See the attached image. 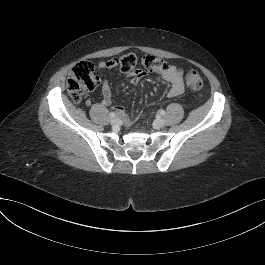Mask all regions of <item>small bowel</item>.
<instances>
[{
    "mask_svg": "<svg viewBox=\"0 0 265 265\" xmlns=\"http://www.w3.org/2000/svg\"><path fill=\"white\" fill-rule=\"evenodd\" d=\"M117 66L115 59H109L106 61H101L98 64L100 69H111ZM183 74L184 71L179 66H169L167 71L162 73L160 77L169 84V88L167 91V95L169 97H175L183 93L184 91V83H183ZM146 72L142 69H136L132 73L128 74L129 80L132 84H137L140 82ZM101 94L102 100L101 104L105 106H110L112 104V91L109 85L108 80H103L101 85ZM87 105H92V101L88 99L86 101ZM116 114L123 119L125 122H129L131 120L130 115L122 107L115 108Z\"/></svg>",
    "mask_w": 265,
    "mask_h": 265,
    "instance_id": "obj_1",
    "label": "small bowel"
}]
</instances>
